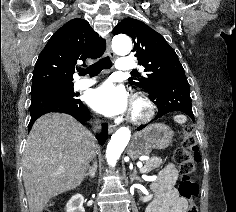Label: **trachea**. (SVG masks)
<instances>
[{"label": "trachea", "instance_id": "obj_1", "mask_svg": "<svg viewBox=\"0 0 236 212\" xmlns=\"http://www.w3.org/2000/svg\"><path fill=\"white\" fill-rule=\"evenodd\" d=\"M112 67V62L109 57H104L97 62H95L93 65L88 67L87 69H80L79 75H87L89 74L91 77L97 76L100 74V72L104 69H110ZM136 73V72H132Z\"/></svg>", "mask_w": 236, "mask_h": 212}]
</instances>
